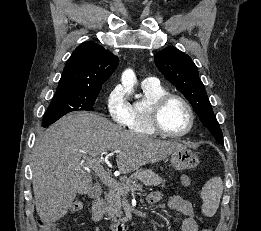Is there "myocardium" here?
<instances>
[{"label":"myocardium","instance_id":"f54148a6","mask_svg":"<svg viewBox=\"0 0 261 231\" xmlns=\"http://www.w3.org/2000/svg\"><path fill=\"white\" fill-rule=\"evenodd\" d=\"M172 99H177L181 101L186 107L189 115V124L187 128L179 133L168 132L167 130L164 129L161 121L162 110L165 107V105ZM150 123L153 129L157 132V134L167 136V137H172V138H179L187 135L192 130L195 123V114L192 105L185 97L176 93L167 92L161 97H159L152 105L150 111Z\"/></svg>","mask_w":261,"mask_h":231}]
</instances>
